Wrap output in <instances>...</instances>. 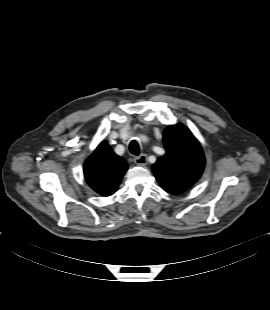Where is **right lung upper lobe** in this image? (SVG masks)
Here are the masks:
<instances>
[{
	"instance_id": "obj_1",
	"label": "right lung upper lobe",
	"mask_w": 270,
	"mask_h": 310,
	"mask_svg": "<svg viewBox=\"0 0 270 310\" xmlns=\"http://www.w3.org/2000/svg\"><path fill=\"white\" fill-rule=\"evenodd\" d=\"M127 169L125 160L103 141L85 162L84 175L94 191L102 196H110L117 190Z\"/></svg>"
}]
</instances>
